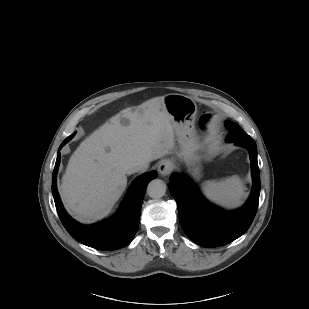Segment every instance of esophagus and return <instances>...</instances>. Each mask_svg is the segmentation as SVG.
<instances>
[{
	"mask_svg": "<svg viewBox=\"0 0 309 309\" xmlns=\"http://www.w3.org/2000/svg\"><path fill=\"white\" fill-rule=\"evenodd\" d=\"M171 169H172V165L167 160L162 161L158 166V171L163 176H166L167 174H169Z\"/></svg>",
	"mask_w": 309,
	"mask_h": 309,
	"instance_id": "esophagus-1",
	"label": "esophagus"
}]
</instances>
